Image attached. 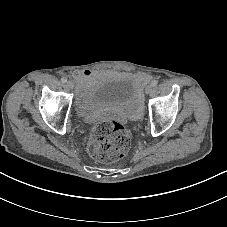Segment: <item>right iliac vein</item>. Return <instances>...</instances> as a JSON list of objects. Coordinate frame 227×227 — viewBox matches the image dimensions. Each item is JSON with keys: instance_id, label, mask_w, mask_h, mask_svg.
I'll return each instance as SVG.
<instances>
[{"instance_id": "right-iliac-vein-1", "label": "right iliac vein", "mask_w": 227, "mask_h": 227, "mask_svg": "<svg viewBox=\"0 0 227 227\" xmlns=\"http://www.w3.org/2000/svg\"><path fill=\"white\" fill-rule=\"evenodd\" d=\"M73 87H74V84H73L72 81H68V82L66 83V88L72 89Z\"/></svg>"}]
</instances>
